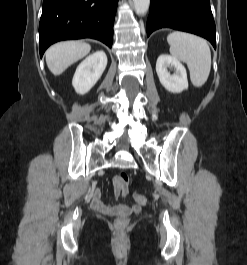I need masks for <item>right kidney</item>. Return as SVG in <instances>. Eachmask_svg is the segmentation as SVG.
Instances as JSON below:
<instances>
[{
    "label": "right kidney",
    "mask_w": 247,
    "mask_h": 265,
    "mask_svg": "<svg viewBox=\"0 0 247 265\" xmlns=\"http://www.w3.org/2000/svg\"><path fill=\"white\" fill-rule=\"evenodd\" d=\"M107 66L104 51H96L84 59L76 69L72 85L78 94H85L97 83Z\"/></svg>",
    "instance_id": "1"
}]
</instances>
